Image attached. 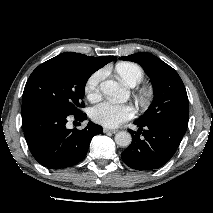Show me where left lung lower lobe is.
Returning a JSON list of instances; mask_svg holds the SVG:
<instances>
[{
	"label": "left lung lower lobe",
	"mask_w": 213,
	"mask_h": 213,
	"mask_svg": "<svg viewBox=\"0 0 213 213\" xmlns=\"http://www.w3.org/2000/svg\"><path fill=\"white\" fill-rule=\"evenodd\" d=\"M131 131L132 143L121 153L124 163L136 170L158 169L178 148L187 128L173 122L139 123Z\"/></svg>",
	"instance_id": "1"
}]
</instances>
